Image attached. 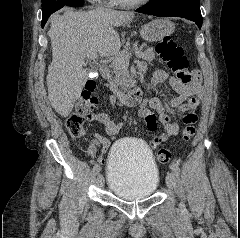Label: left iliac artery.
<instances>
[{"mask_svg": "<svg viewBox=\"0 0 240 238\" xmlns=\"http://www.w3.org/2000/svg\"><path fill=\"white\" fill-rule=\"evenodd\" d=\"M170 167H171V169L174 171L175 175H176V176H179V174H180V168H179V166H178V163L172 162V164H171Z\"/></svg>", "mask_w": 240, "mask_h": 238, "instance_id": "44dca946", "label": "left iliac artery"}]
</instances>
